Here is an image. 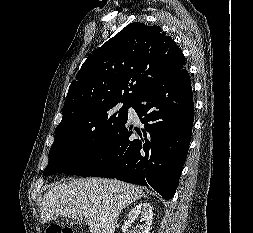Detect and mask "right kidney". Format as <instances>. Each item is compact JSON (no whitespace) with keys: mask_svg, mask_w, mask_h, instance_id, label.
<instances>
[{"mask_svg":"<svg viewBox=\"0 0 253 233\" xmlns=\"http://www.w3.org/2000/svg\"><path fill=\"white\" fill-rule=\"evenodd\" d=\"M138 216H141V222H143V224L137 226L136 233H149L153 219L151 205L147 202L139 203L131 209L128 215L130 220H133Z\"/></svg>","mask_w":253,"mask_h":233,"instance_id":"ca27d5eb","label":"right kidney"}]
</instances>
